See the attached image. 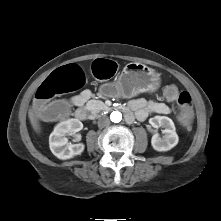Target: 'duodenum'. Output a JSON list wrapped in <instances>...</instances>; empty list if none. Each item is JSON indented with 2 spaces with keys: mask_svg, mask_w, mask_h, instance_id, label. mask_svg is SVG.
Masks as SVG:
<instances>
[{
  "mask_svg": "<svg viewBox=\"0 0 221 221\" xmlns=\"http://www.w3.org/2000/svg\"><path fill=\"white\" fill-rule=\"evenodd\" d=\"M124 113H125V117L127 121H132L133 120V115L130 111L129 108L124 109ZM75 116L77 119L81 120V121H87L90 117V113L87 109L85 108H80L77 109L75 112Z\"/></svg>",
  "mask_w": 221,
  "mask_h": 221,
  "instance_id": "1",
  "label": "duodenum"
}]
</instances>
